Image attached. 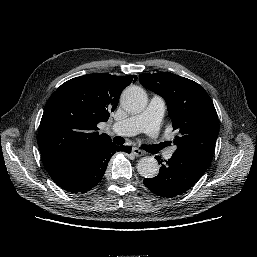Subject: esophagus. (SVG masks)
<instances>
[{"label": "esophagus", "instance_id": "obj_1", "mask_svg": "<svg viewBox=\"0 0 257 257\" xmlns=\"http://www.w3.org/2000/svg\"><path fill=\"white\" fill-rule=\"evenodd\" d=\"M132 153H133L136 157H141V156H143V155L145 154L142 150H140V149H138V148H136V147H133V148H132Z\"/></svg>", "mask_w": 257, "mask_h": 257}]
</instances>
